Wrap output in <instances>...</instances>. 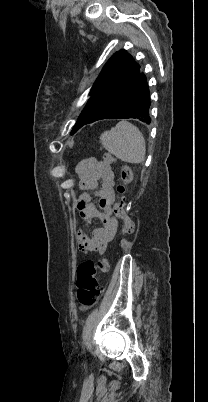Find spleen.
<instances>
[{
    "label": "spleen",
    "instance_id": "3e777b00",
    "mask_svg": "<svg viewBox=\"0 0 208 402\" xmlns=\"http://www.w3.org/2000/svg\"><path fill=\"white\" fill-rule=\"evenodd\" d=\"M101 144L107 152L129 164H141L145 160L146 144L139 128L130 122H119L109 132L100 136Z\"/></svg>",
    "mask_w": 208,
    "mask_h": 402
}]
</instances>
